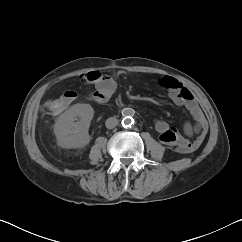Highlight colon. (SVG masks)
<instances>
[{
	"instance_id": "colon-1",
	"label": "colon",
	"mask_w": 242,
	"mask_h": 242,
	"mask_svg": "<svg viewBox=\"0 0 242 242\" xmlns=\"http://www.w3.org/2000/svg\"><path fill=\"white\" fill-rule=\"evenodd\" d=\"M98 78V75H91L89 79L86 81H94ZM94 96L97 100H106L110 96L106 91H99L98 93H94ZM68 97L66 93L59 98L50 99L46 102L45 107L48 112L53 114L61 113L68 106Z\"/></svg>"
}]
</instances>
